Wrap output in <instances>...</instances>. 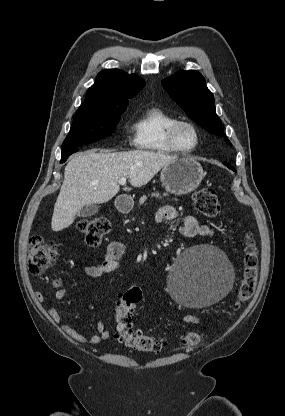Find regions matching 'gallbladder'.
Returning <instances> with one entry per match:
<instances>
[{"label":"gallbladder","mask_w":285,"mask_h":416,"mask_svg":"<svg viewBox=\"0 0 285 416\" xmlns=\"http://www.w3.org/2000/svg\"><path fill=\"white\" fill-rule=\"evenodd\" d=\"M99 206L97 204H90V206H83L79 212H77V216L79 218H89V216H94V214H98Z\"/></svg>","instance_id":"bac80fb5"}]
</instances>
